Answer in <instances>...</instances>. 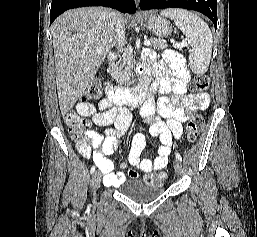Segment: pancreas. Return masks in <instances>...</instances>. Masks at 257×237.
<instances>
[{
	"label": "pancreas",
	"instance_id": "obj_1",
	"mask_svg": "<svg viewBox=\"0 0 257 237\" xmlns=\"http://www.w3.org/2000/svg\"><path fill=\"white\" fill-rule=\"evenodd\" d=\"M153 49H165L167 45L159 39H150ZM133 68L132 51H125L117 63H112L109 68L110 75L118 82L127 84Z\"/></svg>",
	"mask_w": 257,
	"mask_h": 237
}]
</instances>
